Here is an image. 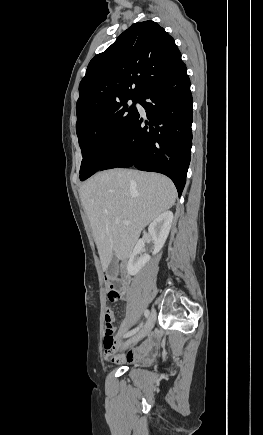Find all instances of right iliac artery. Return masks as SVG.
<instances>
[{
  "mask_svg": "<svg viewBox=\"0 0 263 435\" xmlns=\"http://www.w3.org/2000/svg\"><path fill=\"white\" fill-rule=\"evenodd\" d=\"M149 314H150L149 310L144 311L145 318H147L149 316ZM141 326L142 325H140L139 327L135 328L134 330L128 332L124 337H130L131 335L135 334L140 329Z\"/></svg>",
  "mask_w": 263,
  "mask_h": 435,
  "instance_id": "1",
  "label": "right iliac artery"
}]
</instances>
